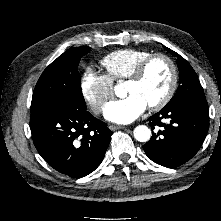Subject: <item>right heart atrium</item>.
<instances>
[{
	"label": "right heart atrium",
	"mask_w": 221,
	"mask_h": 221,
	"mask_svg": "<svg viewBox=\"0 0 221 221\" xmlns=\"http://www.w3.org/2000/svg\"><path fill=\"white\" fill-rule=\"evenodd\" d=\"M113 81L106 74H98L92 69H87L81 78L82 95L96 113H102L106 103L113 96Z\"/></svg>",
	"instance_id": "obj_1"
}]
</instances>
